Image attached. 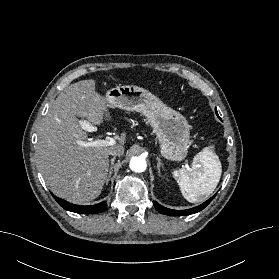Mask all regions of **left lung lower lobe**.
<instances>
[{
  "label": "left lung lower lobe",
  "mask_w": 279,
  "mask_h": 279,
  "mask_svg": "<svg viewBox=\"0 0 279 279\" xmlns=\"http://www.w3.org/2000/svg\"><path fill=\"white\" fill-rule=\"evenodd\" d=\"M216 195H214L213 197H211L210 199H208L206 202H204L203 204L188 209V210H171L169 208L163 207L162 205L158 204L156 201H153V205L156 208V210L161 213V214H165V215H171V216H185V215H189V214H194L197 213L201 210H203L211 201L212 199L215 197Z\"/></svg>",
  "instance_id": "1"
}]
</instances>
